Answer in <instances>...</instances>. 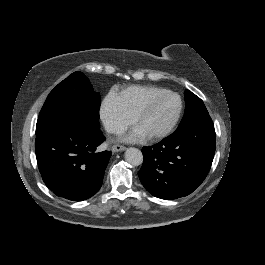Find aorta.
<instances>
[{
  "instance_id": "762f6f07",
  "label": "aorta",
  "mask_w": 265,
  "mask_h": 265,
  "mask_svg": "<svg viewBox=\"0 0 265 265\" xmlns=\"http://www.w3.org/2000/svg\"><path fill=\"white\" fill-rule=\"evenodd\" d=\"M124 158L127 163L133 166H138L143 161V156H142L141 151L135 147L127 148L124 153Z\"/></svg>"
}]
</instances>
